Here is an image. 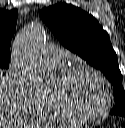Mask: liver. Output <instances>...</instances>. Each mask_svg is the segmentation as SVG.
Returning <instances> with one entry per match:
<instances>
[{
  "mask_svg": "<svg viewBox=\"0 0 125 128\" xmlns=\"http://www.w3.org/2000/svg\"><path fill=\"white\" fill-rule=\"evenodd\" d=\"M11 95L6 82L0 76V128H11L16 125L11 112ZM22 122H18V125Z\"/></svg>",
  "mask_w": 125,
  "mask_h": 128,
  "instance_id": "obj_1",
  "label": "liver"
}]
</instances>
